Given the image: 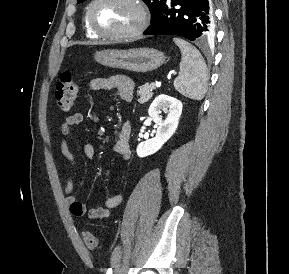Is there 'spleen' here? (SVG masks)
I'll use <instances>...</instances> for the list:
<instances>
[{
    "label": "spleen",
    "instance_id": "1",
    "mask_svg": "<svg viewBox=\"0 0 289 274\" xmlns=\"http://www.w3.org/2000/svg\"><path fill=\"white\" fill-rule=\"evenodd\" d=\"M181 50L180 74L174 80L175 89L182 95L201 100L206 93L208 72L200 52L189 42L173 38Z\"/></svg>",
    "mask_w": 289,
    "mask_h": 274
}]
</instances>
